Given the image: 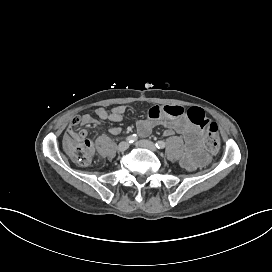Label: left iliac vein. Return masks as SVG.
I'll return each instance as SVG.
<instances>
[{"label":"left iliac vein","instance_id":"left-iliac-vein-1","mask_svg":"<svg viewBox=\"0 0 272 272\" xmlns=\"http://www.w3.org/2000/svg\"><path fill=\"white\" fill-rule=\"evenodd\" d=\"M136 145L141 147V148L149 149V150H151L153 152H156V150H157L156 145L153 142L149 141V140H140V141H138L136 143Z\"/></svg>","mask_w":272,"mask_h":272}]
</instances>
